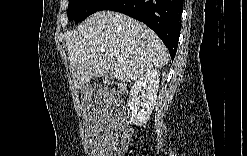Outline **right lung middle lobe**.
I'll return each mask as SVG.
<instances>
[{
  "instance_id": "1",
  "label": "right lung middle lobe",
  "mask_w": 247,
  "mask_h": 156,
  "mask_svg": "<svg viewBox=\"0 0 247 156\" xmlns=\"http://www.w3.org/2000/svg\"><path fill=\"white\" fill-rule=\"evenodd\" d=\"M108 0H69L68 19L83 21L89 15L97 12Z\"/></svg>"
}]
</instances>
